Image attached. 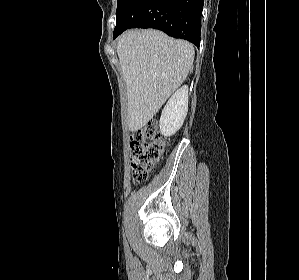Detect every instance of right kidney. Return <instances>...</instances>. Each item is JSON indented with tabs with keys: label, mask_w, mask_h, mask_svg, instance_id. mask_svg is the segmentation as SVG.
<instances>
[{
	"label": "right kidney",
	"mask_w": 299,
	"mask_h": 280,
	"mask_svg": "<svg viewBox=\"0 0 299 280\" xmlns=\"http://www.w3.org/2000/svg\"><path fill=\"white\" fill-rule=\"evenodd\" d=\"M188 112V86L178 89L165 105L159 122L160 132L165 137L174 135L183 125Z\"/></svg>",
	"instance_id": "obj_1"
}]
</instances>
